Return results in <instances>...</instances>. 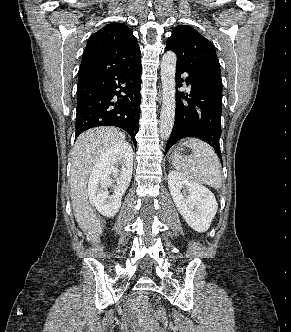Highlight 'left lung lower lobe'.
<instances>
[{
	"instance_id": "obj_1",
	"label": "left lung lower lobe",
	"mask_w": 291,
	"mask_h": 332,
	"mask_svg": "<svg viewBox=\"0 0 291 332\" xmlns=\"http://www.w3.org/2000/svg\"><path fill=\"white\" fill-rule=\"evenodd\" d=\"M188 73L186 84L189 94L176 93L175 122L165 148V154L180 139L199 137L213 147L222 161L219 139L221 136L222 80L213 70L190 71L176 66V86L181 87L180 75Z\"/></svg>"
}]
</instances>
